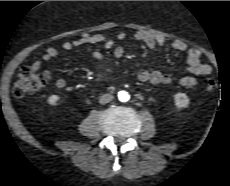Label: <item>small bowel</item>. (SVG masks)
I'll return each instance as SVG.
<instances>
[{"label": "small bowel", "mask_w": 230, "mask_h": 186, "mask_svg": "<svg viewBox=\"0 0 230 186\" xmlns=\"http://www.w3.org/2000/svg\"><path fill=\"white\" fill-rule=\"evenodd\" d=\"M124 34L120 33L116 39L120 40L124 38ZM135 38L138 41L143 42L150 51H154L157 47L165 44L163 37H157L152 34L138 31L135 33ZM81 44H102L104 48L111 49L115 45V40L102 34H85L80 39L65 41L61 44V48L64 50H71L74 47ZM172 50L175 52H186V67L185 70L188 75L180 79V85L186 88L194 87L197 84L195 76L208 75L212 72V67L208 63L202 62V51L198 48H188L187 44L183 40H176L172 43ZM93 57L103 64V54L95 50L93 51ZM113 54L115 57L120 58L124 54V50L121 46L114 47ZM59 55V50L56 47H48L42 56L35 60L30 67L34 70H38L45 62H49ZM138 80L141 82H149L151 84H169L171 82V76L167 73H163L159 70H141L138 72ZM54 85L57 88H65L67 86L66 80L59 78L56 79Z\"/></svg>", "instance_id": "obj_1"}]
</instances>
